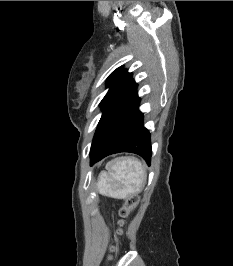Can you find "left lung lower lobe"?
<instances>
[{
	"mask_svg": "<svg viewBox=\"0 0 233 266\" xmlns=\"http://www.w3.org/2000/svg\"><path fill=\"white\" fill-rule=\"evenodd\" d=\"M139 102L137 84L133 82L103 111L91 146V165L118 152L136 153L150 165V133L143 126Z\"/></svg>",
	"mask_w": 233,
	"mask_h": 266,
	"instance_id": "1",
	"label": "left lung lower lobe"
}]
</instances>
